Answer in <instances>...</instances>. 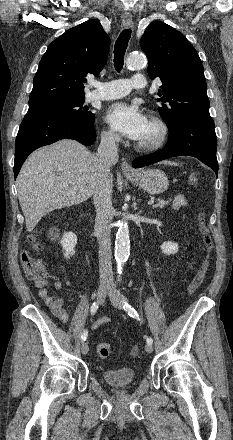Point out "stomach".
<instances>
[{
	"instance_id": "obj_1",
	"label": "stomach",
	"mask_w": 233,
	"mask_h": 440,
	"mask_svg": "<svg viewBox=\"0 0 233 440\" xmlns=\"http://www.w3.org/2000/svg\"><path fill=\"white\" fill-rule=\"evenodd\" d=\"M126 177L151 195L161 194L169 186L168 177L160 169L141 170L136 175L127 174Z\"/></svg>"
}]
</instances>
